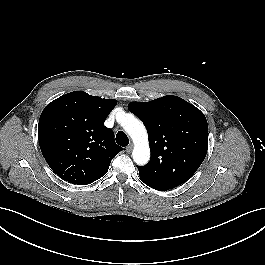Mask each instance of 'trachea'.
I'll use <instances>...</instances> for the list:
<instances>
[{
	"instance_id": "obj_1",
	"label": "trachea",
	"mask_w": 265,
	"mask_h": 265,
	"mask_svg": "<svg viewBox=\"0 0 265 265\" xmlns=\"http://www.w3.org/2000/svg\"><path fill=\"white\" fill-rule=\"evenodd\" d=\"M116 142L120 146L125 147L129 144V139L123 131H119L116 135Z\"/></svg>"
}]
</instances>
